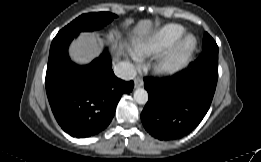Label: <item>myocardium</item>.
<instances>
[{
  "label": "myocardium",
  "instance_id": "1",
  "mask_svg": "<svg viewBox=\"0 0 261 162\" xmlns=\"http://www.w3.org/2000/svg\"><path fill=\"white\" fill-rule=\"evenodd\" d=\"M196 46L197 39L193 34L183 35L159 58L155 65L156 70L161 73H173L181 69Z\"/></svg>",
  "mask_w": 261,
  "mask_h": 162
}]
</instances>
